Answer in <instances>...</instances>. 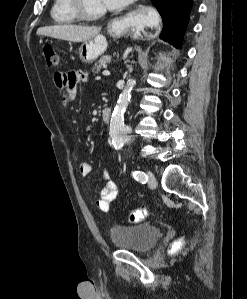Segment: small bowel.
<instances>
[{"label":"small bowel","mask_w":247,"mask_h":299,"mask_svg":"<svg viewBox=\"0 0 247 299\" xmlns=\"http://www.w3.org/2000/svg\"><path fill=\"white\" fill-rule=\"evenodd\" d=\"M54 80L56 86L63 91V104L68 110L76 99L79 85L87 80V75L82 71H73L67 74H56ZM78 172L83 177L88 176L91 172L90 164L86 161H81L78 166ZM100 182L102 190L99 198L96 200V205L101 211L107 212L112 202L118 196V187L105 170L101 173Z\"/></svg>","instance_id":"c3829d8e"}]
</instances>
